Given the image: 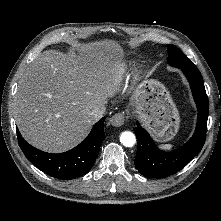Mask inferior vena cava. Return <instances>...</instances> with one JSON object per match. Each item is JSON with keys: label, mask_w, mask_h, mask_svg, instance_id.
I'll return each instance as SVG.
<instances>
[{"label": "inferior vena cava", "mask_w": 221, "mask_h": 221, "mask_svg": "<svg viewBox=\"0 0 221 221\" xmlns=\"http://www.w3.org/2000/svg\"><path fill=\"white\" fill-rule=\"evenodd\" d=\"M105 111H106V106L103 104L94 108L90 113V115L95 121H98L103 117Z\"/></svg>", "instance_id": "inferior-vena-cava-1"}]
</instances>
